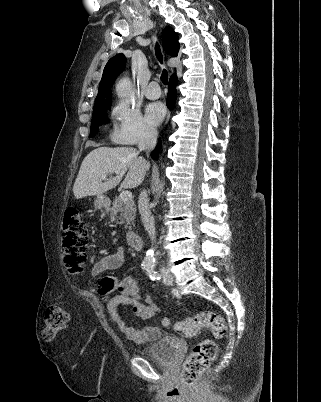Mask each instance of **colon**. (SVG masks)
<instances>
[{"label":"colon","instance_id":"colon-1","mask_svg":"<svg viewBox=\"0 0 321 402\" xmlns=\"http://www.w3.org/2000/svg\"><path fill=\"white\" fill-rule=\"evenodd\" d=\"M87 239L88 229L80 211L75 207H68L63 217L62 249L65 266L71 274L82 270L86 260ZM68 319V314L62 306H50L45 315L44 338L53 340L65 328ZM204 328L210 329L216 337H222L226 332L224 319L209 310L174 323V329L184 335H195ZM217 355L218 347L214 340L205 339L197 343L183 364L182 382L189 386L195 385L202 373L216 360Z\"/></svg>","mask_w":321,"mask_h":402}]
</instances>
